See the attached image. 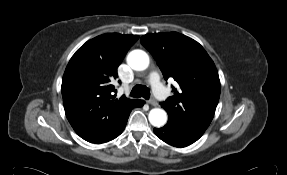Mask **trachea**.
<instances>
[{"mask_svg":"<svg viewBox=\"0 0 287 175\" xmlns=\"http://www.w3.org/2000/svg\"><path fill=\"white\" fill-rule=\"evenodd\" d=\"M130 96L135 98L143 97L145 99H149L150 92L146 86L138 84L133 87Z\"/></svg>","mask_w":287,"mask_h":175,"instance_id":"1","label":"trachea"}]
</instances>
